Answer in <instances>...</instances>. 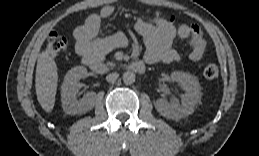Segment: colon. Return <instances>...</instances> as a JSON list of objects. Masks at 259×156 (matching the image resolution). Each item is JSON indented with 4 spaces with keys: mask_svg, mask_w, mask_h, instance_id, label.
Segmentation results:
<instances>
[{
    "mask_svg": "<svg viewBox=\"0 0 259 156\" xmlns=\"http://www.w3.org/2000/svg\"><path fill=\"white\" fill-rule=\"evenodd\" d=\"M155 16L159 20H165L163 15L159 12H157ZM167 21L172 23L174 21V17H170ZM68 47L69 40L65 36L57 34L55 32H51L46 39V51L51 56H57L64 53L65 51H67ZM203 73L206 78L214 79L218 76L219 73L218 66L213 63L208 64L204 68Z\"/></svg>",
    "mask_w": 259,
    "mask_h": 156,
    "instance_id": "obj_1",
    "label": "colon"
}]
</instances>
